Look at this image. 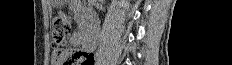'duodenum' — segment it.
<instances>
[{"instance_id": "410a0bca", "label": "duodenum", "mask_w": 232, "mask_h": 65, "mask_svg": "<svg viewBox=\"0 0 232 65\" xmlns=\"http://www.w3.org/2000/svg\"><path fill=\"white\" fill-rule=\"evenodd\" d=\"M83 20L82 41L86 51H92L95 48L98 37V22L96 16L88 10H81Z\"/></svg>"}]
</instances>
